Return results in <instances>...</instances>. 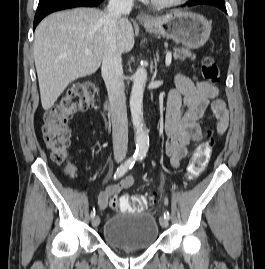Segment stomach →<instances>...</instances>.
Here are the masks:
<instances>
[{
  "instance_id": "1",
  "label": "stomach",
  "mask_w": 265,
  "mask_h": 269,
  "mask_svg": "<svg viewBox=\"0 0 265 269\" xmlns=\"http://www.w3.org/2000/svg\"><path fill=\"white\" fill-rule=\"evenodd\" d=\"M143 26L147 31L172 39L189 49L202 47L212 29L211 23L202 15L180 10L156 17Z\"/></svg>"
}]
</instances>
